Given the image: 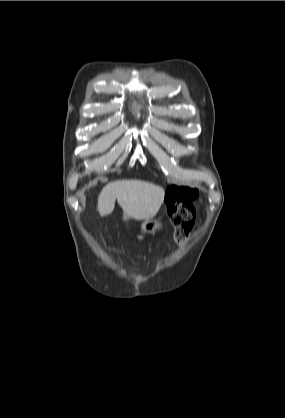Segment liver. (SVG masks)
I'll return each instance as SVG.
<instances>
[{
    "label": "liver",
    "mask_w": 285,
    "mask_h": 418,
    "mask_svg": "<svg viewBox=\"0 0 285 418\" xmlns=\"http://www.w3.org/2000/svg\"><path fill=\"white\" fill-rule=\"evenodd\" d=\"M164 189L140 180L108 183L100 192L97 209L101 216L113 212L115 201L123 212L135 220L153 218L164 202Z\"/></svg>",
    "instance_id": "6515ba94"
}]
</instances>
